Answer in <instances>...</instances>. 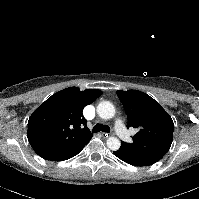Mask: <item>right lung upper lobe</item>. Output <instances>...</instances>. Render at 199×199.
<instances>
[{
	"label": "right lung upper lobe",
	"mask_w": 199,
	"mask_h": 199,
	"mask_svg": "<svg viewBox=\"0 0 199 199\" xmlns=\"http://www.w3.org/2000/svg\"><path fill=\"white\" fill-rule=\"evenodd\" d=\"M101 95L99 90L66 88L48 98L30 116L27 138L38 155L68 149L93 136L83 108Z\"/></svg>",
	"instance_id": "right-lung-upper-lobe-1"
}]
</instances>
